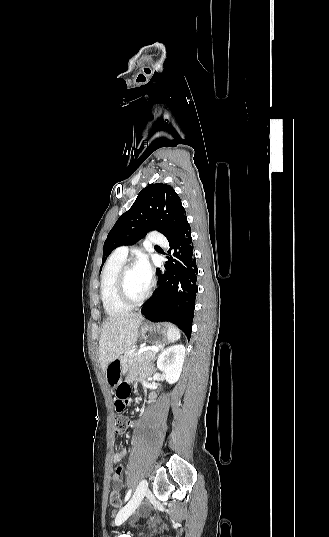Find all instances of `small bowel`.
Segmentation results:
<instances>
[{
	"mask_svg": "<svg viewBox=\"0 0 329 537\" xmlns=\"http://www.w3.org/2000/svg\"><path fill=\"white\" fill-rule=\"evenodd\" d=\"M118 368V367H117ZM115 391V405L114 408L118 412L126 411L132 395L131 385L129 381H118ZM127 450L125 447L118 448L113 454V461L115 464H119L126 456ZM112 481L116 488L123 487V469L118 466L113 475Z\"/></svg>",
	"mask_w": 329,
	"mask_h": 537,
	"instance_id": "1",
	"label": "small bowel"
}]
</instances>
